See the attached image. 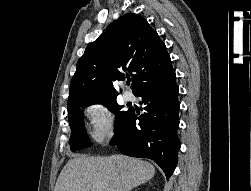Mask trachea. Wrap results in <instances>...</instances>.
I'll return each instance as SVG.
<instances>
[{"label":"trachea","mask_w":251,"mask_h":191,"mask_svg":"<svg viewBox=\"0 0 251 191\" xmlns=\"http://www.w3.org/2000/svg\"><path fill=\"white\" fill-rule=\"evenodd\" d=\"M130 81H131V80H127V85H130Z\"/></svg>","instance_id":"trachea-1"}]
</instances>
